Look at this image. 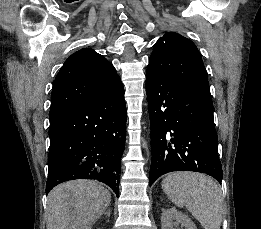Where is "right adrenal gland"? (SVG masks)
I'll list each match as a JSON object with an SVG mask.
<instances>
[{
	"mask_svg": "<svg viewBox=\"0 0 261 229\" xmlns=\"http://www.w3.org/2000/svg\"><path fill=\"white\" fill-rule=\"evenodd\" d=\"M104 215H107V217H111V211H110V209H107V213H104Z\"/></svg>",
	"mask_w": 261,
	"mask_h": 229,
	"instance_id": "right-adrenal-gland-1",
	"label": "right adrenal gland"
}]
</instances>
